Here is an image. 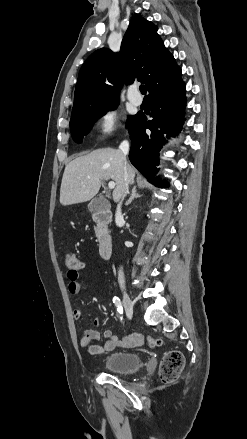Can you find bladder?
<instances>
[{
  "instance_id": "bladder-1",
  "label": "bladder",
  "mask_w": 247,
  "mask_h": 439,
  "mask_svg": "<svg viewBox=\"0 0 247 439\" xmlns=\"http://www.w3.org/2000/svg\"><path fill=\"white\" fill-rule=\"evenodd\" d=\"M141 357L135 352H115L104 360V368L112 373L130 374L141 367Z\"/></svg>"
}]
</instances>
